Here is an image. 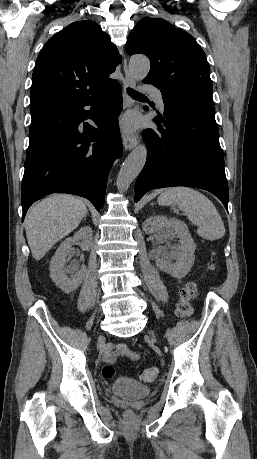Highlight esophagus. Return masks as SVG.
<instances>
[{"label":"esophagus","mask_w":257,"mask_h":459,"mask_svg":"<svg viewBox=\"0 0 257 459\" xmlns=\"http://www.w3.org/2000/svg\"><path fill=\"white\" fill-rule=\"evenodd\" d=\"M124 73H125V86L130 87V88H135L136 83L128 70L126 59H124ZM124 98H125L126 106L129 107L133 104L132 100L129 98L126 91H124ZM137 144H138V136H129L127 134L123 135V146L125 150H131L135 148Z\"/></svg>","instance_id":"esophagus-1"}]
</instances>
